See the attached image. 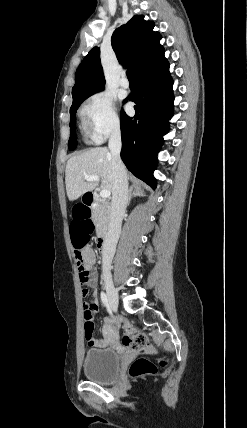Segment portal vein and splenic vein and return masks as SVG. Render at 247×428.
<instances>
[{
	"mask_svg": "<svg viewBox=\"0 0 247 428\" xmlns=\"http://www.w3.org/2000/svg\"><path fill=\"white\" fill-rule=\"evenodd\" d=\"M85 180H87V181H97V182H99L100 181V178H99V176H97V175H85ZM110 191L109 190H101V192H100V196L102 197V198H108L109 196H110Z\"/></svg>",
	"mask_w": 247,
	"mask_h": 428,
	"instance_id": "obj_1",
	"label": "portal vein and splenic vein"
}]
</instances>
